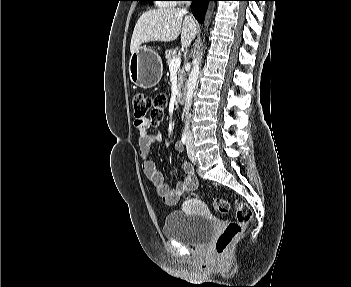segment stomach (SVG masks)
<instances>
[{
	"label": "stomach",
	"instance_id": "1",
	"mask_svg": "<svg viewBox=\"0 0 351 287\" xmlns=\"http://www.w3.org/2000/svg\"><path fill=\"white\" fill-rule=\"evenodd\" d=\"M129 73L132 83L143 88H152L160 81L163 65L160 55L149 48L139 47L131 54Z\"/></svg>",
	"mask_w": 351,
	"mask_h": 287
}]
</instances>
